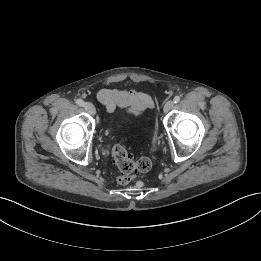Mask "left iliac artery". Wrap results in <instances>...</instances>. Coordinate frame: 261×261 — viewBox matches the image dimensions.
<instances>
[{"instance_id": "1", "label": "left iliac artery", "mask_w": 261, "mask_h": 261, "mask_svg": "<svg viewBox=\"0 0 261 261\" xmlns=\"http://www.w3.org/2000/svg\"><path fill=\"white\" fill-rule=\"evenodd\" d=\"M173 100L174 103H178L180 101V96H175Z\"/></svg>"}]
</instances>
